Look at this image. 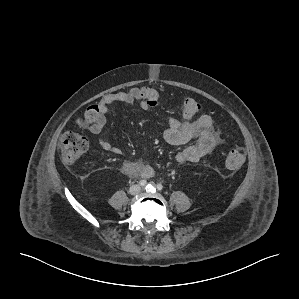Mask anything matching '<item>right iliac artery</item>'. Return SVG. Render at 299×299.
I'll list each match as a JSON object with an SVG mask.
<instances>
[{
  "label": "right iliac artery",
  "instance_id": "obj_1",
  "mask_svg": "<svg viewBox=\"0 0 299 299\" xmlns=\"http://www.w3.org/2000/svg\"><path fill=\"white\" fill-rule=\"evenodd\" d=\"M147 184V181L146 180H141L140 182H139V185L140 186H145Z\"/></svg>",
  "mask_w": 299,
  "mask_h": 299
}]
</instances>
